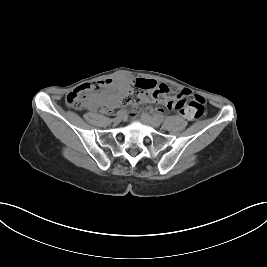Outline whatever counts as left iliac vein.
<instances>
[{
  "mask_svg": "<svg viewBox=\"0 0 267 267\" xmlns=\"http://www.w3.org/2000/svg\"><path fill=\"white\" fill-rule=\"evenodd\" d=\"M142 120L145 124L151 127L158 128L160 126V122L147 113L142 114Z\"/></svg>",
  "mask_w": 267,
  "mask_h": 267,
  "instance_id": "4c4485c4",
  "label": "left iliac vein"
}]
</instances>
